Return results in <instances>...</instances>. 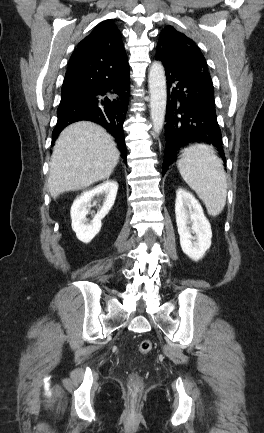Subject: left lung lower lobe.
<instances>
[{
    "label": "left lung lower lobe",
    "instance_id": "obj_1",
    "mask_svg": "<svg viewBox=\"0 0 264 433\" xmlns=\"http://www.w3.org/2000/svg\"><path fill=\"white\" fill-rule=\"evenodd\" d=\"M162 62L167 78L163 175L176 160L178 150L190 143L213 145L226 163L210 75L183 71Z\"/></svg>",
    "mask_w": 264,
    "mask_h": 433
}]
</instances>
